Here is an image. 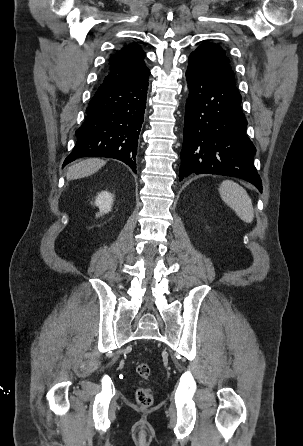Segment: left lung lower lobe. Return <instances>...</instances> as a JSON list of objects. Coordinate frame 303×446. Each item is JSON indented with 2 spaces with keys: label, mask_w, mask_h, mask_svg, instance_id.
Listing matches in <instances>:
<instances>
[{
  "label": "left lung lower lobe",
  "mask_w": 303,
  "mask_h": 446,
  "mask_svg": "<svg viewBox=\"0 0 303 446\" xmlns=\"http://www.w3.org/2000/svg\"><path fill=\"white\" fill-rule=\"evenodd\" d=\"M186 78L190 93L179 179L192 173L232 176L262 192L253 163L256 149L246 135L247 121L236 83L192 57Z\"/></svg>",
  "instance_id": "left-lung-lower-lobe-1"
}]
</instances>
